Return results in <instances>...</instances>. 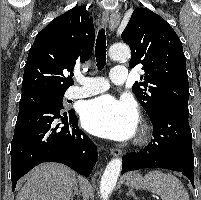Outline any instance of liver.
I'll use <instances>...</instances> for the list:
<instances>
[{
  "mask_svg": "<svg viewBox=\"0 0 201 200\" xmlns=\"http://www.w3.org/2000/svg\"><path fill=\"white\" fill-rule=\"evenodd\" d=\"M77 184L75 173L58 163H43L32 170L16 200H70Z\"/></svg>",
  "mask_w": 201,
  "mask_h": 200,
  "instance_id": "obj_1",
  "label": "liver"
}]
</instances>
